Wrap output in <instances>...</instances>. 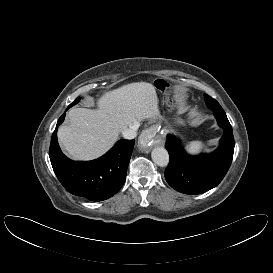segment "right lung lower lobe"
Returning <instances> with one entry per match:
<instances>
[{"instance_id": "right-lung-lower-lobe-1", "label": "right lung lower lobe", "mask_w": 273, "mask_h": 273, "mask_svg": "<svg viewBox=\"0 0 273 273\" xmlns=\"http://www.w3.org/2000/svg\"><path fill=\"white\" fill-rule=\"evenodd\" d=\"M64 118L65 113L57 122L49 150L50 161L57 178L73 195L91 201H102L112 197L120 190L126 179L135 141L120 140L96 160L73 161L62 153L57 141L58 126Z\"/></svg>"}]
</instances>
